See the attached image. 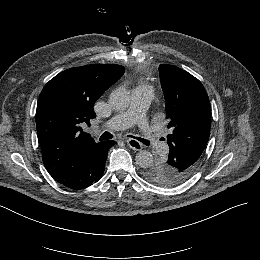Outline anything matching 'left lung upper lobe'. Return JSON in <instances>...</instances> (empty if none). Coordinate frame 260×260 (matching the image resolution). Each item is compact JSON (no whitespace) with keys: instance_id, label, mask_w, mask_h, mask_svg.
<instances>
[{"instance_id":"left-lung-upper-lobe-1","label":"left lung upper lobe","mask_w":260,"mask_h":260,"mask_svg":"<svg viewBox=\"0 0 260 260\" xmlns=\"http://www.w3.org/2000/svg\"><path fill=\"white\" fill-rule=\"evenodd\" d=\"M166 102V118L172 133L167 136L168 160L144 170V177L157 185L175 186L197 169L209 140L211 112L202 83L172 65L159 66Z\"/></svg>"}]
</instances>
